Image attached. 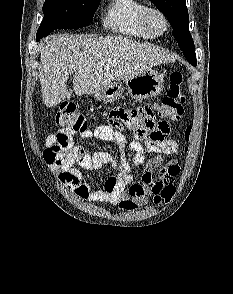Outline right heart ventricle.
I'll use <instances>...</instances> for the list:
<instances>
[{"label":"right heart ventricle","mask_w":233,"mask_h":294,"mask_svg":"<svg viewBox=\"0 0 233 294\" xmlns=\"http://www.w3.org/2000/svg\"><path fill=\"white\" fill-rule=\"evenodd\" d=\"M147 5L142 0H110L102 17L103 26L129 38L150 40L151 34L142 23Z\"/></svg>","instance_id":"right-heart-ventricle-1"}]
</instances>
